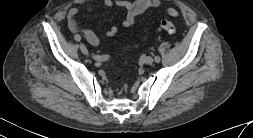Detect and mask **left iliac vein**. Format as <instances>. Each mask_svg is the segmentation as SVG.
Masks as SVG:
<instances>
[{"instance_id":"4c4485c4","label":"left iliac vein","mask_w":253,"mask_h":138,"mask_svg":"<svg viewBox=\"0 0 253 138\" xmlns=\"http://www.w3.org/2000/svg\"><path fill=\"white\" fill-rule=\"evenodd\" d=\"M153 61H154V59H153L151 56H146V57L144 58V62H145L146 64H152Z\"/></svg>"}]
</instances>
